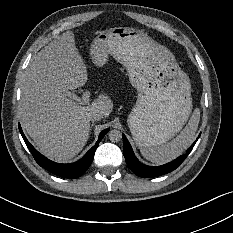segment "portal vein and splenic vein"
Listing matches in <instances>:
<instances>
[{
  "mask_svg": "<svg viewBox=\"0 0 233 233\" xmlns=\"http://www.w3.org/2000/svg\"><path fill=\"white\" fill-rule=\"evenodd\" d=\"M65 95L73 100L76 104L78 105H88L90 102V92L89 91H83L82 96H78L77 94L71 92V91H66Z\"/></svg>",
  "mask_w": 233,
  "mask_h": 233,
  "instance_id": "portal-vein-and-splenic-vein-1",
  "label": "portal vein and splenic vein"
}]
</instances>
